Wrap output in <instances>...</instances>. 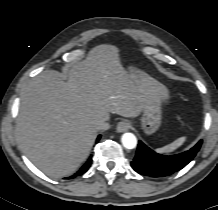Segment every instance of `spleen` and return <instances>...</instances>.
Returning <instances> with one entry per match:
<instances>
[{"instance_id": "obj_1", "label": "spleen", "mask_w": 218, "mask_h": 210, "mask_svg": "<svg viewBox=\"0 0 218 210\" xmlns=\"http://www.w3.org/2000/svg\"><path fill=\"white\" fill-rule=\"evenodd\" d=\"M185 137H180L178 139H176L174 142L162 147V148H158L156 149V151L158 153H161V154H166V153H170L172 151H174L175 149H177L178 147H180L184 141H185Z\"/></svg>"}]
</instances>
